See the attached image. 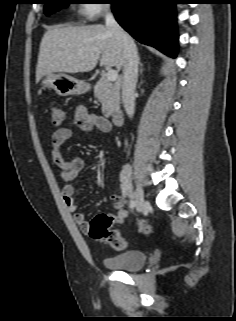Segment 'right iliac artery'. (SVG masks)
Instances as JSON below:
<instances>
[{
    "label": "right iliac artery",
    "instance_id": "1",
    "mask_svg": "<svg viewBox=\"0 0 236 321\" xmlns=\"http://www.w3.org/2000/svg\"><path fill=\"white\" fill-rule=\"evenodd\" d=\"M135 207V201L131 199L130 201V208L133 209Z\"/></svg>",
    "mask_w": 236,
    "mask_h": 321
}]
</instances>
